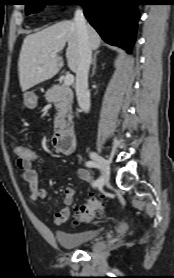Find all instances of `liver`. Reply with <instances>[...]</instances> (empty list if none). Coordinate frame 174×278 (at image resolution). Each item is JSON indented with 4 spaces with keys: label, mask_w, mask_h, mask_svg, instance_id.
I'll return each instance as SVG.
<instances>
[{
    "label": "liver",
    "mask_w": 174,
    "mask_h": 278,
    "mask_svg": "<svg viewBox=\"0 0 174 278\" xmlns=\"http://www.w3.org/2000/svg\"><path fill=\"white\" fill-rule=\"evenodd\" d=\"M91 49L97 50L101 38L88 26ZM67 44L68 67L76 72L79 63L78 35L74 21L58 22L37 33L25 37L18 61L19 82L22 91L46 81L56 75L63 66L59 53ZM55 53L54 57L51 54Z\"/></svg>",
    "instance_id": "1"
}]
</instances>
